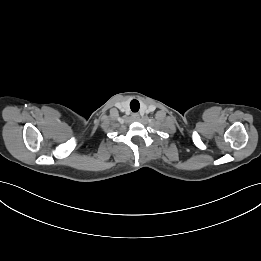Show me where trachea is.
<instances>
[{
	"instance_id": "3493384b",
	"label": "trachea",
	"mask_w": 261,
	"mask_h": 261,
	"mask_svg": "<svg viewBox=\"0 0 261 261\" xmlns=\"http://www.w3.org/2000/svg\"><path fill=\"white\" fill-rule=\"evenodd\" d=\"M130 108L133 112H137L140 108V104L138 102V100L136 99H133L131 102H130Z\"/></svg>"
}]
</instances>
